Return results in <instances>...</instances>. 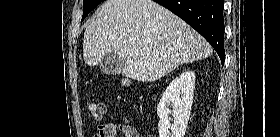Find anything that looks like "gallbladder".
I'll list each match as a JSON object with an SVG mask.
<instances>
[{
  "mask_svg": "<svg viewBox=\"0 0 280 137\" xmlns=\"http://www.w3.org/2000/svg\"><path fill=\"white\" fill-rule=\"evenodd\" d=\"M126 65V60L115 53L105 54L99 63L102 73L106 75L120 74Z\"/></svg>",
  "mask_w": 280,
  "mask_h": 137,
  "instance_id": "gallbladder-1",
  "label": "gallbladder"
}]
</instances>
